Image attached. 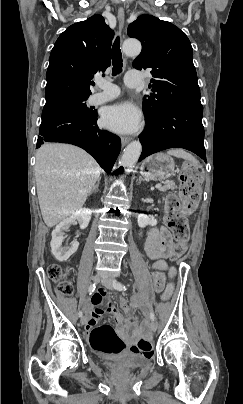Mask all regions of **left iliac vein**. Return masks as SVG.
<instances>
[{"label": "left iliac vein", "instance_id": "obj_1", "mask_svg": "<svg viewBox=\"0 0 243 404\" xmlns=\"http://www.w3.org/2000/svg\"><path fill=\"white\" fill-rule=\"evenodd\" d=\"M101 283H102V285H103L104 287H106L107 289L112 290V289L114 288V281H113L112 279H110V278L103 279V280L101 281ZM150 329H151V331L156 332V330H157V325H156V323H155L154 321H151V322H150Z\"/></svg>", "mask_w": 243, "mask_h": 404}]
</instances>
